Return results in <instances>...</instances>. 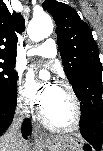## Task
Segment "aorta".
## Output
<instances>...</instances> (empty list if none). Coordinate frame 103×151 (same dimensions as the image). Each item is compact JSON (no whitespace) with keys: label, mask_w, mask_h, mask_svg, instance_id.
<instances>
[{"label":"aorta","mask_w":103,"mask_h":151,"mask_svg":"<svg viewBox=\"0 0 103 151\" xmlns=\"http://www.w3.org/2000/svg\"><path fill=\"white\" fill-rule=\"evenodd\" d=\"M52 31V19L46 13L33 17L27 28L28 36L34 42L42 41L48 37Z\"/></svg>","instance_id":"1"}]
</instances>
